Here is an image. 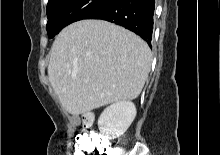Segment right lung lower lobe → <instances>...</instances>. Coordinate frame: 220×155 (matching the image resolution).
I'll list each match as a JSON object with an SVG mask.
<instances>
[{
    "mask_svg": "<svg viewBox=\"0 0 220 155\" xmlns=\"http://www.w3.org/2000/svg\"><path fill=\"white\" fill-rule=\"evenodd\" d=\"M154 9V0H115L85 19H102L123 26L142 37L150 45Z\"/></svg>",
    "mask_w": 220,
    "mask_h": 155,
    "instance_id": "98d812e1",
    "label": "right lung lower lobe"
}]
</instances>
